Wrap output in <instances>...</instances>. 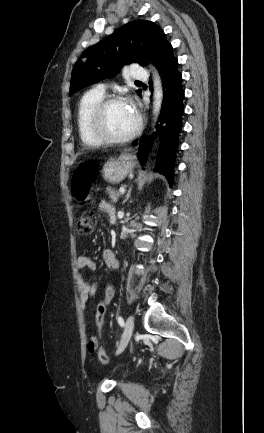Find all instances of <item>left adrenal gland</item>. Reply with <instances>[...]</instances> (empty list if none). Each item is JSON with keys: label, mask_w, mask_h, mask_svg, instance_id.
Here are the masks:
<instances>
[{"label": "left adrenal gland", "mask_w": 264, "mask_h": 433, "mask_svg": "<svg viewBox=\"0 0 264 433\" xmlns=\"http://www.w3.org/2000/svg\"><path fill=\"white\" fill-rule=\"evenodd\" d=\"M130 195H131V188L128 190V193L126 195L125 200L123 201V204L130 198Z\"/></svg>", "instance_id": "obj_1"}]
</instances>
